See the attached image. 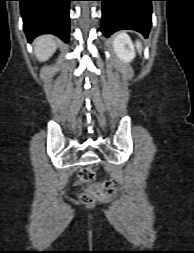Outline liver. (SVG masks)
<instances>
[{
	"instance_id": "1",
	"label": "liver",
	"mask_w": 194,
	"mask_h": 253,
	"mask_svg": "<svg viewBox=\"0 0 194 253\" xmlns=\"http://www.w3.org/2000/svg\"><path fill=\"white\" fill-rule=\"evenodd\" d=\"M56 48V40L50 35L40 36L34 41V53L41 62L48 60L56 51Z\"/></svg>"
}]
</instances>
